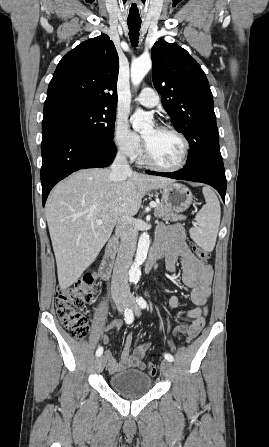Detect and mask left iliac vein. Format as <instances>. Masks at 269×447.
Here are the masks:
<instances>
[{"mask_svg": "<svg viewBox=\"0 0 269 447\" xmlns=\"http://www.w3.org/2000/svg\"><path fill=\"white\" fill-rule=\"evenodd\" d=\"M128 305L132 308L134 313L136 315H140V308L136 304V300L133 297H130V300L128 301ZM172 364L168 360H162L161 361V372L164 376H170L172 373Z\"/></svg>", "mask_w": 269, "mask_h": 447, "instance_id": "1", "label": "left iliac vein"}]
</instances>
